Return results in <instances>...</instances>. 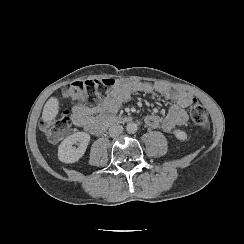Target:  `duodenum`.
<instances>
[{
  "label": "duodenum",
  "mask_w": 244,
  "mask_h": 244,
  "mask_svg": "<svg viewBox=\"0 0 244 244\" xmlns=\"http://www.w3.org/2000/svg\"><path fill=\"white\" fill-rule=\"evenodd\" d=\"M122 120H129V119H128V118H127V119L111 118V119L109 120V122H108V125L118 123V122H120V121H122ZM102 129H105V128H102Z\"/></svg>",
  "instance_id": "410a0bca"
}]
</instances>
